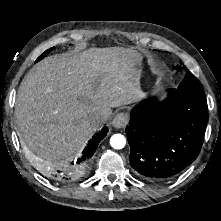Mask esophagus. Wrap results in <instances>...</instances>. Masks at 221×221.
I'll return each instance as SVG.
<instances>
[{"label": "esophagus", "instance_id": "esophagus-1", "mask_svg": "<svg viewBox=\"0 0 221 221\" xmlns=\"http://www.w3.org/2000/svg\"><path fill=\"white\" fill-rule=\"evenodd\" d=\"M128 122H129V114L126 112H119L113 118L112 126H114L115 128H123L128 124Z\"/></svg>", "mask_w": 221, "mask_h": 221}]
</instances>
